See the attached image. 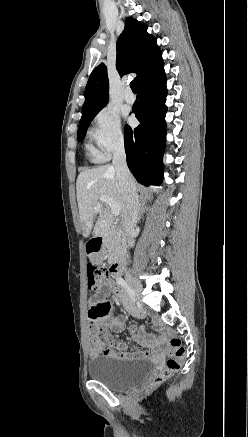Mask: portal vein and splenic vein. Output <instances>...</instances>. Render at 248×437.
<instances>
[{
  "instance_id": "obj_1",
  "label": "portal vein and splenic vein",
  "mask_w": 248,
  "mask_h": 437,
  "mask_svg": "<svg viewBox=\"0 0 248 437\" xmlns=\"http://www.w3.org/2000/svg\"><path fill=\"white\" fill-rule=\"evenodd\" d=\"M100 203L101 204L102 203L107 204L110 207L112 214L114 216H119V214H120V206L116 202H114V200L112 198H110L108 196H101L100 197ZM101 204H98L95 207V211L96 212H100L101 211Z\"/></svg>"
}]
</instances>
